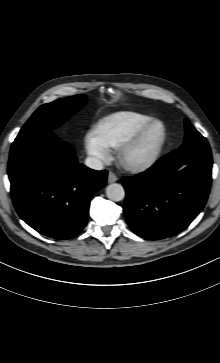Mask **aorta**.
Returning <instances> with one entry per match:
<instances>
[{"label": "aorta", "instance_id": "obj_1", "mask_svg": "<svg viewBox=\"0 0 220 363\" xmlns=\"http://www.w3.org/2000/svg\"><path fill=\"white\" fill-rule=\"evenodd\" d=\"M106 195L108 199L118 202L124 199L125 190L121 184L113 183L107 186Z\"/></svg>", "mask_w": 220, "mask_h": 363}]
</instances>
